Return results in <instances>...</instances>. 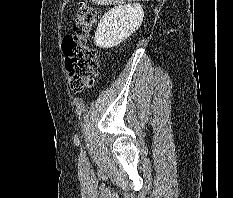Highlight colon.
<instances>
[{
	"instance_id": "1",
	"label": "colon",
	"mask_w": 233,
	"mask_h": 198,
	"mask_svg": "<svg viewBox=\"0 0 233 198\" xmlns=\"http://www.w3.org/2000/svg\"><path fill=\"white\" fill-rule=\"evenodd\" d=\"M99 18L98 10L86 0L78 3L74 32L63 39L65 66L71 89L81 92L92 85L98 66V55L88 44V37Z\"/></svg>"
}]
</instances>
